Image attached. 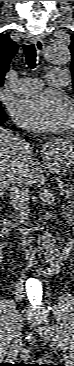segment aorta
I'll return each mask as SVG.
<instances>
[{"label": "aorta", "instance_id": "1", "mask_svg": "<svg viewBox=\"0 0 74 366\" xmlns=\"http://www.w3.org/2000/svg\"><path fill=\"white\" fill-rule=\"evenodd\" d=\"M44 60L54 66L62 67L71 60L70 50L67 44L52 42L46 45ZM41 242L46 251V259L51 264L58 260V246L56 239L48 229L42 231Z\"/></svg>", "mask_w": 74, "mask_h": 366}]
</instances>
